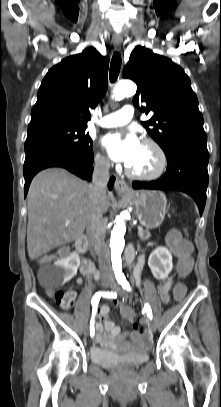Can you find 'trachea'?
<instances>
[{
  "instance_id": "trachea-1",
  "label": "trachea",
  "mask_w": 221,
  "mask_h": 407,
  "mask_svg": "<svg viewBox=\"0 0 221 407\" xmlns=\"http://www.w3.org/2000/svg\"><path fill=\"white\" fill-rule=\"evenodd\" d=\"M121 56L120 54L115 51L110 63V72H109V77H110V82L114 83L119 75L120 68H121Z\"/></svg>"
}]
</instances>
